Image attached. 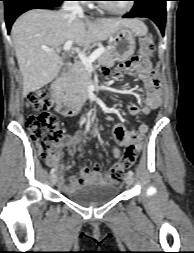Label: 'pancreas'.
I'll return each instance as SVG.
<instances>
[{"instance_id": "pancreas-1", "label": "pancreas", "mask_w": 194, "mask_h": 253, "mask_svg": "<svg viewBox=\"0 0 194 253\" xmlns=\"http://www.w3.org/2000/svg\"><path fill=\"white\" fill-rule=\"evenodd\" d=\"M98 63L111 67L115 63L112 48H105L104 52L98 58ZM90 75L86 66L80 61L74 63L64 79L65 96L70 101H76L86 95L87 85L90 83Z\"/></svg>"}]
</instances>
